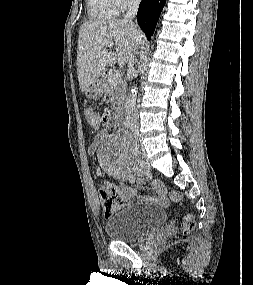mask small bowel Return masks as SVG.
Returning <instances> with one entry per match:
<instances>
[{
  "label": "small bowel",
  "instance_id": "obj_1",
  "mask_svg": "<svg viewBox=\"0 0 253 285\" xmlns=\"http://www.w3.org/2000/svg\"><path fill=\"white\" fill-rule=\"evenodd\" d=\"M110 110L109 109H102L99 117V126H111V121H110ZM99 126L93 127L94 129H98ZM106 130L101 129L99 130L98 134L96 135L93 143L89 147V152L93 153L97 149L99 143L103 140V138L106 136ZM127 177V175H126ZM135 180V177H134ZM153 186L156 191V194L154 196H145L141 197L140 201L145 202V203H151L159 206H166L168 204V197H167V189L163 185V183L157 179L153 180ZM104 187L108 188H114L118 192H120L125 198L128 200L136 195V190L131 188L128 185L120 184V185H115L113 183H105Z\"/></svg>",
  "mask_w": 253,
  "mask_h": 285
}]
</instances>
